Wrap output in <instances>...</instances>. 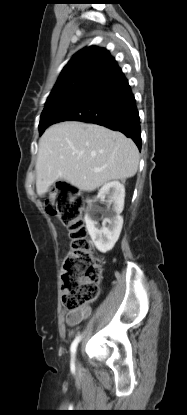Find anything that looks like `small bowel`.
Here are the masks:
<instances>
[{
  "instance_id": "c3829d8e",
  "label": "small bowel",
  "mask_w": 187,
  "mask_h": 415,
  "mask_svg": "<svg viewBox=\"0 0 187 415\" xmlns=\"http://www.w3.org/2000/svg\"><path fill=\"white\" fill-rule=\"evenodd\" d=\"M67 317V323L70 326H75L84 320L90 314V307L84 306L81 309L75 311H68L65 313Z\"/></svg>"
}]
</instances>
